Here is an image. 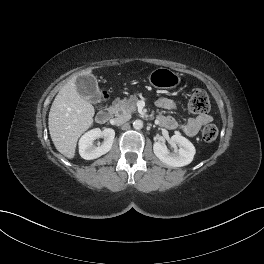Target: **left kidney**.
<instances>
[{"mask_svg":"<svg viewBox=\"0 0 264 264\" xmlns=\"http://www.w3.org/2000/svg\"><path fill=\"white\" fill-rule=\"evenodd\" d=\"M171 141L179 146L177 152L172 153L164 143L155 142L153 151L156 157L172 167H183L190 164L195 155L193 144L181 135H173Z\"/></svg>","mask_w":264,"mask_h":264,"instance_id":"1","label":"left kidney"}]
</instances>
